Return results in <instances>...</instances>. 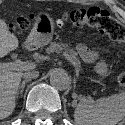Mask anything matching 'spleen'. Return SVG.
I'll return each instance as SVG.
<instances>
[{
    "label": "spleen",
    "mask_w": 125,
    "mask_h": 125,
    "mask_svg": "<svg viewBox=\"0 0 125 125\" xmlns=\"http://www.w3.org/2000/svg\"><path fill=\"white\" fill-rule=\"evenodd\" d=\"M125 116V92L96 101L82 98L74 112L76 125H116Z\"/></svg>",
    "instance_id": "spleen-1"
}]
</instances>
